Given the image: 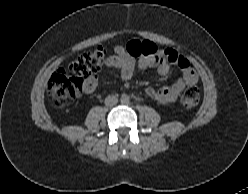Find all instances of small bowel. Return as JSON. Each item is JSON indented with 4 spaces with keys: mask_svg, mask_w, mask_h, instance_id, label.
<instances>
[{
    "mask_svg": "<svg viewBox=\"0 0 248 194\" xmlns=\"http://www.w3.org/2000/svg\"><path fill=\"white\" fill-rule=\"evenodd\" d=\"M166 54V51H159L155 55L141 56L136 60L134 56L128 52L127 47L118 45L114 48V53L106 59L105 65L119 69L122 78L126 80L132 78L136 68L146 69L153 65L157 67L156 73L158 76H166L170 71V67L166 62ZM175 65L182 71L181 77L175 83L169 87L158 90L152 87L146 89V93L158 103L164 105L173 104L186 86L195 85L198 81L195 70L183 57H181V60H177ZM97 85V77L87 78L83 83V92L92 94L96 90Z\"/></svg>",
    "mask_w": 248,
    "mask_h": 194,
    "instance_id": "1",
    "label": "small bowel"
}]
</instances>
